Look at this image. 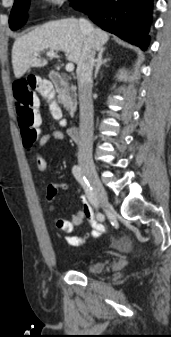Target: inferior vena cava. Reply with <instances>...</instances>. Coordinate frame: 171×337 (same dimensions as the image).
I'll return each instance as SVG.
<instances>
[{
  "instance_id": "obj_1",
  "label": "inferior vena cava",
  "mask_w": 171,
  "mask_h": 337,
  "mask_svg": "<svg viewBox=\"0 0 171 337\" xmlns=\"http://www.w3.org/2000/svg\"><path fill=\"white\" fill-rule=\"evenodd\" d=\"M80 29L87 34L80 62L77 66L80 105V137L78 142V161L92 164L93 144V102H92V70L95 62L93 48L92 24L86 19L79 20Z\"/></svg>"
}]
</instances>
